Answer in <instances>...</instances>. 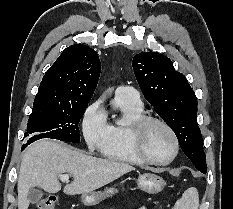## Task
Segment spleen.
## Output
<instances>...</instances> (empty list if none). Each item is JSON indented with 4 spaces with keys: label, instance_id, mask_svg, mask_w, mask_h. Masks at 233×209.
Segmentation results:
<instances>
[{
    "label": "spleen",
    "instance_id": "obj_1",
    "mask_svg": "<svg viewBox=\"0 0 233 209\" xmlns=\"http://www.w3.org/2000/svg\"><path fill=\"white\" fill-rule=\"evenodd\" d=\"M199 194L195 187L187 189L175 204V209H198Z\"/></svg>",
    "mask_w": 233,
    "mask_h": 209
}]
</instances>
